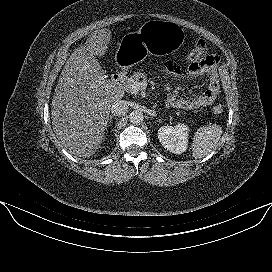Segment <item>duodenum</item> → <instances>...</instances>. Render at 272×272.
I'll return each mask as SVG.
<instances>
[{"mask_svg": "<svg viewBox=\"0 0 272 272\" xmlns=\"http://www.w3.org/2000/svg\"><path fill=\"white\" fill-rule=\"evenodd\" d=\"M125 76H126L125 70L123 68H120L114 74V81L119 84L123 82V80L125 79Z\"/></svg>", "mask_w": 272, "mask_h": 272, "instance_id": "obj_1", "label": "duodenum"}]
</instances>
